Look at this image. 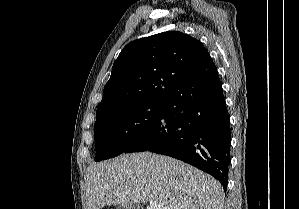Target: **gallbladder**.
<instances>
[{
    "label": "gallbladder",
    "mask_w": 299,
    "mask_h": 209,
    "mask_svg": "<svg viewBox=\"0 0 299 209\" xmlns=\"http://www.w3.org/2000/svg\"><path fill=\"white\" fill-rule=\"evenodd\" d=\"M116 209H141V208L134 203H125L119 205Z\"/></svg>",
    "instance_id": "gallbladder-1"
}]
</instances>
